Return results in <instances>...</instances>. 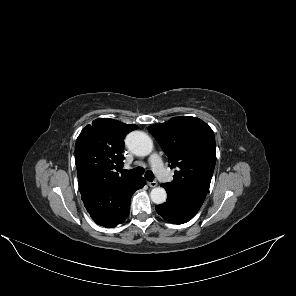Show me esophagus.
Masks as SVG:
<instances>
[{"mask_svg": "<svg viewBox=\"0 0 296 296\" xmlns=\"http://www.w3.org/2000/svg\"><path fill=\"white\" fill-rule=\"evenodd\" d=\"M150 187H156L158 185L157 181L147 182Z\"/></svg>", "mask_w": 296, "mask_h": 296, "instance_id": "esophagus-1", "label": "esophagus"}]
</instances>
